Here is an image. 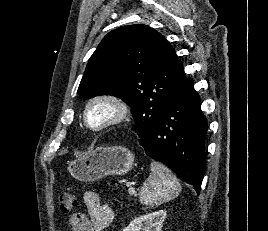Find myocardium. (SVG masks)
Masks as SVG:
<instances>
[{"label": "myocardium", "mask_w": 268, "mask_h": 231, "mask_svg": "<svg viewBox=\"0 0 268 231\" xmlns=\"http://www.w3.org/2000/svg\"><path fill=\"white\" fill-rule=\"evenodd\" d=\"M97 103H107L113 107V115L105 122L92 125L88 120V112L91 106ZM129 117V107L127 103L118 95L111 93L97 94L91 97L84 108L83 111V122L85 126L94 132H101L106 129L118 126L125 122Z\"/></svg>", "instance_id": "f54148a6"}]
</instances>
